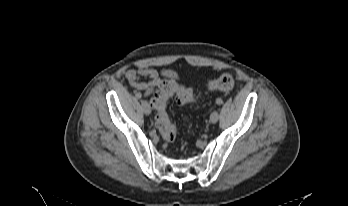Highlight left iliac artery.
I'll use <instances>...</instances> for the list:
<instances>
[{"label": "left iliac artery", "mask_w": 348, "mask_h": 206, "mask_svg": "<svg viewBox=\"0 0 348 206\" xmlns=\"http://www.w3.org/2000/svg\"><path fill=\"white\" fill-rule=\"evenodd\" d=\"M216 103H217V104H221V103H222V100H221V99H217V100H216Z\"/></svg>", "instance_id": "44dca946"}]
</instances>
